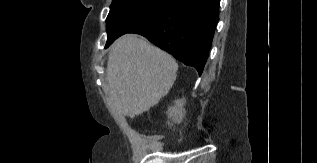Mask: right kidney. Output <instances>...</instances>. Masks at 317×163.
I'll list each match as a JSON object with an SVG mask.
<instances>
[{"label":"right kidney","instance_id":"obj_1","mask_svg":"<svg viewBox=\"0 0 317 163\" xmlns=\"http://www.w3.org/2000/svg\"><path fill=\"white\" fill-rule=\"evenodd\" d=\"M174 103H175L174 106L168 108V111H167L168 118L171 119L172 122L180 123L186 114V111L184 109L186 100L182 98V99L175 100ZM168 125H170L169 122H168Z\"/></svg>","mask_w":317,"mask_h":163}]
</instances>
